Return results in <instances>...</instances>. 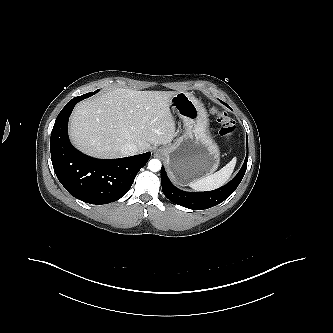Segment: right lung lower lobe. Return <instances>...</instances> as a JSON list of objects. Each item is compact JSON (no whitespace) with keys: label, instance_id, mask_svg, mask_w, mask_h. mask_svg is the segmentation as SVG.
<instances>
[{"label":"right lung lower lobe","instance_id":"right-lung-lower-lobe-1","mask_svg":"<svg viewBox=\"0 0 333 333\" xmlns=\"http://www.w3.org/2000/svg\"><path fill=\"white\" fill-rule=\"evenodd\" d=\"M75 97L59 113L50 138V151L55 174L63 187L75 198L102 205L123 197L135 176L149 160L147 152L119 159H96L75 149L68 137L67 126Z\"/></svg>","mask_w":333,"mask_h":333}]
</instances>
